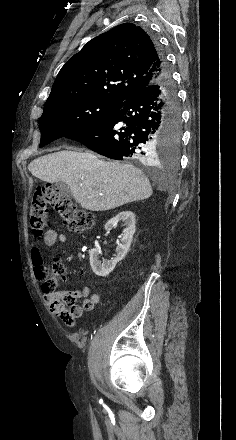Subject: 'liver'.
Returning <instances> with one entry per match:
<instances>
[{
    "instance_id": "6515ba94",
    "label": "liver",
    "mask_w": 236,
    "mask_h": 440,
    "mask_svg": "<svg viewBox=\"0 0 236 440\" xmlns=\"http://www.w3.org/2000/svg\"><path fill=\"white\" fill-rule=\"evenodd\" d=\"M36 178L63 182L81 207L107 211L144 200L152 187L141 170L131 164L99 159L91 152L62 150L34 159L28 166Z\"/></svg>"
}]
</instances>
